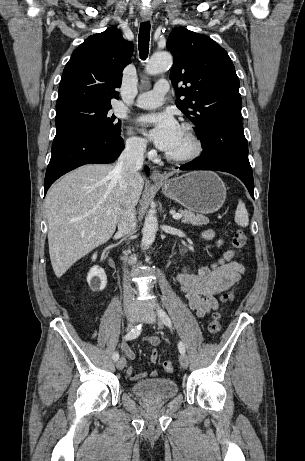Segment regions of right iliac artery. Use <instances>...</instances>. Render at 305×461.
<instances>
[{
  "mask_svg": "<svg viewBox=\"0 0 305 461\" xmlns=\"http://www.w3.org/2000/svg\"><path fill=\"white\" fill-rule=\"evenodd\" d=\"M142 331V324H139L137 326H135L134 328L131 329V331H129L125 336H124V339L125 340H132V339H135L137 338L140 333ZM113 360L114 361H117L119 359V354L118 352H114L113 354Z\"/></svg>",
  "mask_w": 305,
  "mask_h": 461,
  "instance_id": "obj_1",
  "label": "right iliac artery"
}]
</instances>
